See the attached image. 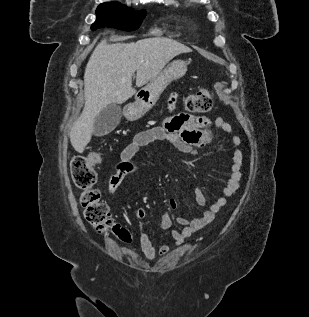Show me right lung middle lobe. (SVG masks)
<instances>
[{
	"label": "right lung middle lobe",
	"mask_w": 309,
	"mask_h": 317,
	"mask_svg": "<svg viewBox=\"0 0 309 317\" xmlns=\"http://www.w3.org/2000/svg\"><path fill=\"white\" fill-rule=\"evenodd\" d=\"M97 19L91 29L111 27L124 31L136 30L140 27L146 16L145 11L133 12L126 6L117 2L103 3L96 10Z\"/></svg>",
	"instance_id": "right-lung-middle-lobe-1"
}]
</instances>
